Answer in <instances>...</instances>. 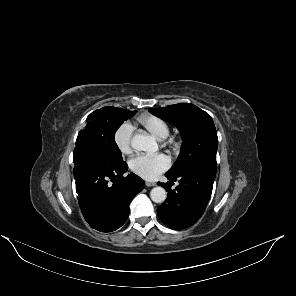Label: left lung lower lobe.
<instances>
[{"label": "left lung lower lobe", "instance_id": "1", "mask_svg": "<svg viewBox=\"0 0 296 296\" xmlns=\"http://www.w3.org/2000/svg\"><path fill=\"white\" fill-rule=\"evenodd\" d=\"M216 166H198L179 175L166 177L171 181L179 179V185L172 190L169 183L158 182L168 192L165 202L157 208L161 221L174 229L187 228L202 216L211 197Z\"/></svg>", "mask_w": 296, "mask_h": 296}]
</instances>
